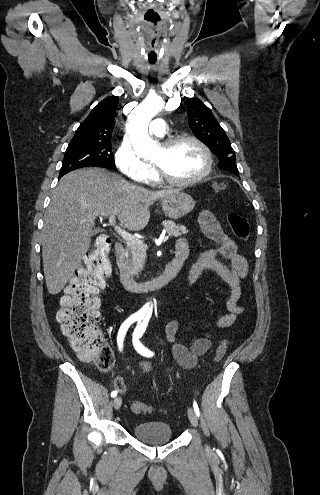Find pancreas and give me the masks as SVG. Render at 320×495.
Segmentation results:
<instances>
[{"label": "pancreas", "instance_id": "1", "mask_svg": "<svg viewBox=\"0 0 320 495\" xmlns=\"http://www.w3.org/2000/svg\"><path fill=\"white\" fill-rule=\"evenodd\" d=\"M163 227L165 228L169 236L178 237L182 234H186L188 231L185 226L175 224L171 220L163 221ZM146 260V247L142 245H128L126 251L125 269L132 275H137L143 268Z\"/></svg>", "mask_w": 320, "mask_h": 495}]
</instances>
